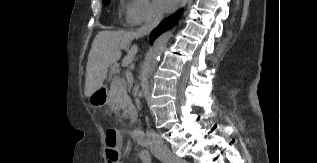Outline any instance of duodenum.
I'll list each match as a JSON object with an SVG mask.
<instances>
[{"mask_svg": "<svg viewBox=\"0 0 317 163\" xmlns=\"http://www.w3.org/2000/svg\"><path fill=\"white\" fill-rule=\"evenodd\" d=\"M132 138L141 146L147 145L145 133L141 129H134L132 132Z\"/></svg>", "mask_w": 317, "mask_h": 163, "instance_id": "1", "label": "duodenum"}]
</instances>
